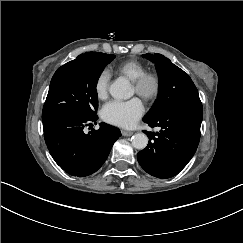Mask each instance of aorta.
<instances>
[{
  "label": "aorta",
  "instance_id": "762f6f07",
  "mask_svg": "<svg viewBox=\"0 0 243 243\" xmlns=\"http://www.w3.org/2000/svg\"><path fill=\"white\" fill-rule=\"evenodd\" d=\"M109 92L114 99H129L134 94V89L126 78L116 79L110 86ZM148 144V137L144 133L132 136V146L138 150L144 149Z\"/></svg>",
  "mask_w": 243,
  "mask_h": 243
}]
</instances>
